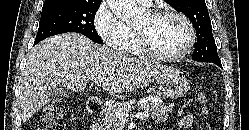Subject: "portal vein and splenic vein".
I'll list each match as a JSON object with an SVG mask.
<instances>
[{"instance_id": "1", "label": "portal vein and splenic vein", "mask_w": 249, "mask_h": 130, "mask_svg": "<svg viewBox=\"0 0 249 130\" xmlns=\"http://www.w3.org/2000/svg\"><path fill=\"white\" fill-rule=\"evenodd\" d=\"M93 81L97 84L101 83V80H99V79H94ZM115 115L121 122H126L129 118V114L126 112L115 111ZM133 117L138 118V119H144V118L149 117V113L147 111L146 112H139L136 115H133Z\"/></svg>"}]
</instances>
